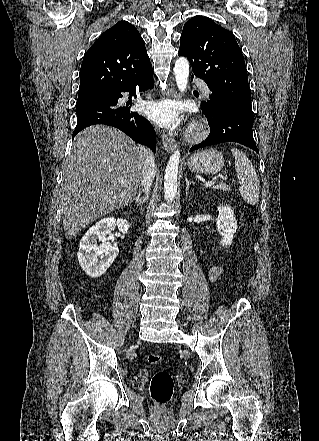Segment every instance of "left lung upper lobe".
<instances>
[{"label":"left lung upper lobe","mask_w":319,"mask_h":441,"mask_svg":"<svg viewBox=\"0 0 319 441\" xmlns=\"http://www.w3.org/2000/svg\"><path fill=\"white\" fill-rule=\"evenodd\" d=\"M179 56L188 58L193 74L211 90L210 100L222 101L253 115L248 75L234 35L211 19L195 16L185 23Z\"/></svg>","instance_id":"5c2ea615"}]
</instances>
